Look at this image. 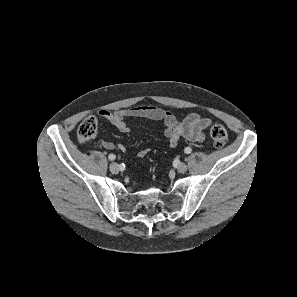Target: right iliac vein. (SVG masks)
Returning <instances> with one entry per match:
<instances>
[{
	"instance_id": "63e3f726",
	"label": "right iliac vein",
	"mask_w": 297,
	"mask_h": 297,
	"mask_svg": "<svg viewBox=\"0 0 297 297\" xmlns=\"http://www.w3.org/2000/svg\"><path fill=\"white\" fill-rule=\"evenodd\" d=\"M109 168H110V171L114 174H117L120 170V167L116 162L111 163Z\"/></svg>"
}]
</instances>
